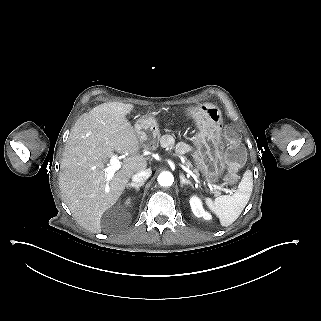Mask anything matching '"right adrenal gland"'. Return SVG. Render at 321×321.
I'll return each instance as SVG.
<instances>
[{
    "instance_id": "1",
    "label": "right adrenal gland",
    "mask_w": 321,
    "mask_h": 321,
    "mask_svg": "<svg viewBox=\"0 0 321 321\" xmlns=\"http://www.w3.org/2000/svg\"><path fill=\"white\" fill-rule=\"evenodd\" d=\"M144 185V182L143 183H128L126 184V188H135L137 191L140 190V187Z\"/></svg>"
}]
</instances>
